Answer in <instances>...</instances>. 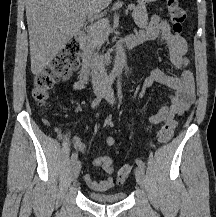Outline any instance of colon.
Returning a JSON list of instances; mask_svg holds the SVG:
<instances>
[{
	"label": "colon",
	"mask_w": 216,
	"mask_h": 217,
	"mask_svg": "<svg viewBox=\"0 0 216 217\" xmlns=\"http://www.w3.org/2000/svg\"><path fill=\"white\" fill-rule=\"evenodd\" d=\"M169 18L174 32L182 31L186 21V11L179 4L178 0H168ZM80 43L77 40H71L66 44L64 49L52 59V61L39 71L34 77V87L32 96L38 104H45L49 99V91L60 80L68 79L76 70L79 63ZM114 126V119L108 117L104 121V127L109 129ZM176 128V122L167 121L158 131L157 142L159 144L167 143L173 136ZM106 172H113L114 166L112 161H106L103 164ZM131 173V167L125 165L117 173V180L123 182Z\"/></svg>",
	"instance_id": "obj_1"
}]
</instances>
